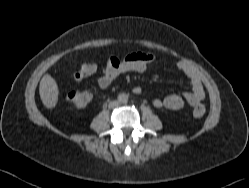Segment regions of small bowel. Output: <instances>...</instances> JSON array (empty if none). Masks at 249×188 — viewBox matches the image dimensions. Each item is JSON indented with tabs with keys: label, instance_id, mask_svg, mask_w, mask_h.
I'll list each match as a JSON object with an SVG mask.
<instances>
[{
	"label": "small bowel",
	"instance_id": "c3829d8e",
	"mask_svg": "<svg viewBox=\"0 0 249 188\" xmlns=\"http://www.w3.org/2000/svg\"><path fill=\"white\" fill-rule=\"evenodd\" d=\"M154 63L155 57L153 55L141 52L130 53L122 60L112 57L106 62L102 74L98 78V84L101 88H107L119 75L126 72L144 73ZM178 68L189 79L191 90L181 95L170 94L162 99L155 98L152 100V104L155 107L177 111L186 105L195 107L204 99V87L195 70L183 62L178 63Z\"/></svg>",
	"mask_w": 249,
	"mask_h": 188
}]
</instances>
